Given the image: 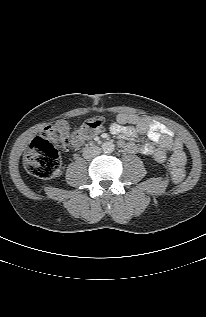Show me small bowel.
<instances>
[{
	"label": "small bowel",
	"mask_w": 206,
	"mask_h": 317,
	"mask_svg": "<svg viewBox=\"0 0 206 317\" xmlns=\"http://www.w3.org/2000/svg\"><path fill=\"white\" fill-rule=\"evenodd\" d=\"M115 135L133 137L136 134H146L151 143L138 145L133 142H120V145L130 153H139L151 157L158 163H163L170 153L181 152L182 144L172 131L165 125L135 114L122 112L117 115V121L110 126ZM83 140L73 138V145L79 146Z\"/></svg>",
	"instance_id": "small-bowel-1"
}]
</instances>
